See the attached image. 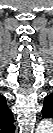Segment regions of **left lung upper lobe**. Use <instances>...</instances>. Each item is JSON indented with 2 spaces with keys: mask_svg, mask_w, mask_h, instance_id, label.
Here are the masks:
<instances>
[{
  "mask_svg": "<svg viewBox=\"0 0 53 133\" xmlns=\"http://www.w3.org/2000/svg\"><path fill=\"white\" fill-rule=\"evenodd\" d=\"M42 116L45 117H53V97L47 96L45 98L44 107L42 109Z\"/></svg>",
  "mask_w": 53,
  "mask_h": 133,
  "instance_id": "left-lung-upper-lobe-1",
  "label": "left lung upper lobe"
}]
</instances>
